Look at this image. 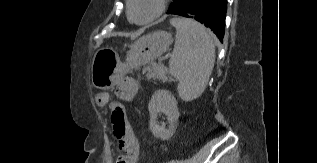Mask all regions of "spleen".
I'll return each mask as SVG.
<instances>
[{"instance_id": "spleen-1", "label": "spleen", "mask_w": 317, "mask_h": 163, "mask_svg": "<svg viewBox=\"0 0 317 163\" xmlns=\"http://www.w3.org/2000/svg\"><path fill=\"white\" fill-rule=\"evenodd\" d=\"M170 23L176 28V39L169 71L179 81L180 98L192 101L207 86L215 63V46L209 33L196 21L175 17Z\"/></svg>"}]
</instances>
